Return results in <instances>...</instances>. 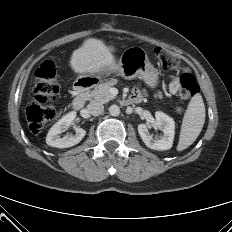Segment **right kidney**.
<instances>
[{
  "label": "right kidney",
  "mask_w": 232,
  "mask_h": 232,
  "mask_svg": "<svg viewBox=\"0 0 232 232\" xmlns=\"http://www.w3.org/2000/svg\"><path fill=\"white\" fill-rule=\"evenodd\" d=\"M76 117V112L72 111L63 116L49 130L46 143L51 147L68 148L78 144L86 135V131L82 128L75 127V135L60 137V134L73 125V120Z\"/></svg>",
  "instance_id": "1"
}]
</instances>
